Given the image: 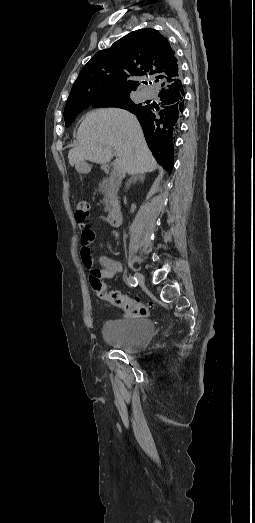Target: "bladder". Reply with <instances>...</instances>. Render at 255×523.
Returning a JSON list of instances; mask_svg holds the SVG:
<instances>
[{
	"instance_id": "1",
	"label": "bladder",
	"mask_w": 255,
	"mask_h": 523,
	"mask_svg": "<svg viewBox=\"0 0 255 523\" xmlns=\"http://www.w3.org/2000/svg\"><path fill=\"white\" fill-rule=\"evenodd\" d=\"M154 326L143 317L106 319L103 338L126 353H136L146 347L152 337Z\"/></svg>"
}]
</instances>
